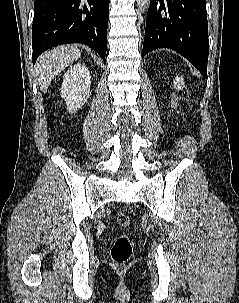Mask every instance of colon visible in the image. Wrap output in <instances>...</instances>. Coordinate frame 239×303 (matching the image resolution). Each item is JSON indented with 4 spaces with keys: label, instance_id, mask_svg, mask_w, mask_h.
I'll use <instances>...</instances> for the list:
<instances>
[{
    "label": "colon",
    "instance_id": "colon-1",
    "mask_svg": "<svg viewBox=\"0 0 239 303\" xmlns=\"http://www.w3.org/2000/svg\"><path fill=\"white\" fill-rule=\"evenodd\" d=\"M118 226L121 229H127L130 226V218L125 213H120L117 217ZM133 252L132 242L130 238L125 235H119L112 246L111 258L117 265H125L131 259Z\"/></svg>",
    "mask_w": 239,
    "mask_h": 303
}]
</instances>
